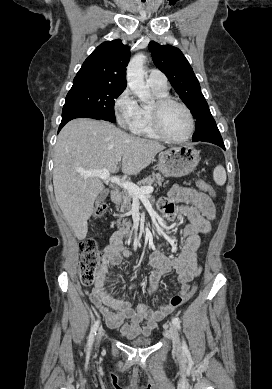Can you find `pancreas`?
<instances>
[{
	"label": "pancreas",
	"instance_id": "obj_1",
	"mask_svg": "<svg viewBox=\"0 0 272 389\" xmlns=\"http://www.w3.org/2000/svg\"><path fill=\"white\" fill-rule=\"evenodd\" d=\"M163 177L160 174H153L152 176L146 177L144 180L140 181L138 185H151L152 183H155V185H162ZM120 195V202L116 203L120 206L121 212H127L131 209V200L132 196L127 191H122L119 193ZM119 224L122 227H125L126 231L130 230L131 223L123 221L122 224L119 222Z\"/></svg>",
	"mask_w": 272,
	"mask_h": 389
}]
</instances>
